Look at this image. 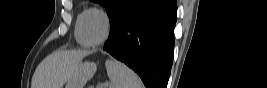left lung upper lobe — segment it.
Masks as SVG:
<instances>
[{"instance_id": "left-lung-upper-lobe-1", "label": "left lung upper lobe", "mask_w": 267, "mask_h": 88, "mask_svg": "<svg viewBox=\"0 0 267 88\" xmlns=\"http://www.w3.org/2000/svg\"><path fill=\"white\" fill-rule=\"evenodd\" d=\"M131 1L132 0H93V2L100 3L102 6L106 7L111 26Z\"/></svg>"}]
</instances>
